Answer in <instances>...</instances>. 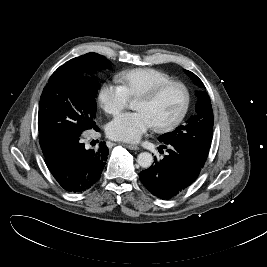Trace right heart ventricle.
Here are the masks:
<instances>
[{
    "mask_svg": "<svg viewBox=\"0 0 267 267\" xmlns=\"http://www.w3.org/2000/svg\"><path fill=\"white\" fill-rule=\"evenodd\" d=\"M130 99H136L155 87L172 81L165 72L154 68H136L124 71L117 77Z\"/></svg>",
    "mask_w": 267,
    "mask_h": 267,
    "instance_id": "obj_1",
    "label": "right heart ventricle"
}]
</instances>
